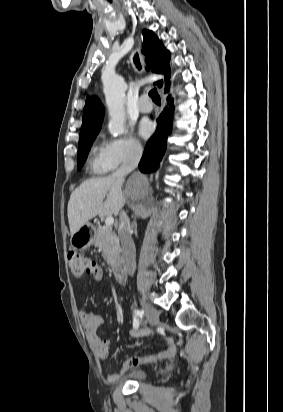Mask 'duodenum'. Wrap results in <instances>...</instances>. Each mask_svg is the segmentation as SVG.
<instances>
[{
	"mask_svg": "<svg viewBox=\"0 0 283 412\" xmlns=\"http://www.w3.org/2000/svg\"><path fill=\"white\" fill-rule=\"evenodd\" d=\"M112 268L116 281L119 284H124L127 279L124 263L117 260L113 263Z\"/></svg>",
	"mask_w": 283,
	"mask_h": 412,
	"instance_id": "410a0bca",
	"label": "duodenum"
}]
</instances>
